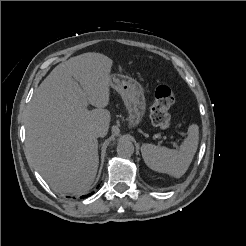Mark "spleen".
<instances>
[{"mask_svg": "<svg viewBox=\"0 0 246 246\" xmlns=\"http://www.w3.org/2000/svg\"><path fill=\"white\" fill-rule=\"evenodd\" d=\"M188 136L179 149H168L154 144L141 146L142 157L146 165L157 172L179 178L187 171L196 153L199 142V127H188Z\"/></svg>", "mask_w": 246, "mask_h": 246, "instance_id": "spleen-1", "label": "spleen"}]
</instances>
